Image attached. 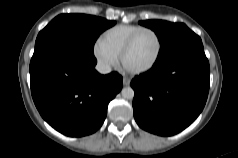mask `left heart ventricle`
Returning a JSON list of instances; mask_svg holds the SVG:
<instances>
[{
  "instance_id": "obj_1",
  "label": "left heart ventricle",
  "mask_w": 238,
  "mask_h": 158,
  "mask_svg": "<svg viewBox=\"0 0 238 158\" xmlns=\"http://www.w3.org/2000/svg\"><path fill=\"white\" fill-rule=\"evenodd\" d=\"M157 47V41L153 34L142 33L128 53L125 60L126 65L133 69L148 65L154 59Z\"/></svg>"
}]
</instances>
